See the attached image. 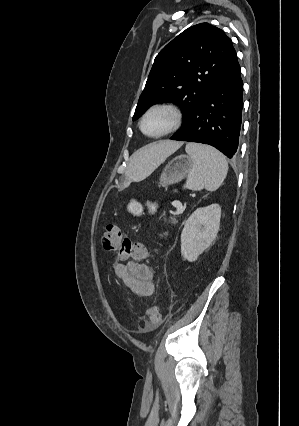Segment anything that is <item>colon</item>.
Here are the masks:
<instances>
[{
  "label": "colon",
  "mask_w": 299,
  "mask_h": 426,
  "mask_svg": "<svg viewBox=\"0 0 299 426\" xmlns=\"http://www.w3.org/2000/svg\"><path fill=\"white\" fill-rule=\"evenodd\" d=\"M101 246L106 252H116L121 260H142L150 256L147 248L142 243L132 242L120 228L113 224L104 225L101 234ZM161 321L157 308L151 307L146 311L144 331H153Z\"/></svg>",
  "instance_id": "colon-1"
}]
</instances>
